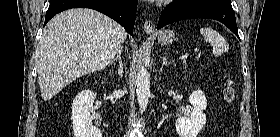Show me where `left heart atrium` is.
I'll use <instances>...</instances> for the list:
<instances>
[{
    "instance_id": "obj_1",
    "label": "left heart atrium",
    "mask_w": 280,
    "mask_h": 137,
    "mask_svg": "<svg viewBox=\"0 0 280 137\" xmlns=\"http://www.w3.org/2000/svg\"><path fill=\"white\" fill-rule=\"evenodd\" d=\"M155 2H157V3H164V2H168V0H155Z\"/></svg>"
}]
</instances>
